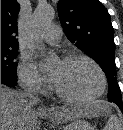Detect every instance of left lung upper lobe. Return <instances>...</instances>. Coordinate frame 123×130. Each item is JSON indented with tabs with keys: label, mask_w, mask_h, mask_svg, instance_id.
I'll return each instance as SVG.
<instances>
[{
	"label": "left lung upper lobe",
	"mask_w": 123,
	"mask_h": 130,
	"mask_svg": "<svg viewBox=\"0 0 123 130\" xmlns=\"http://www.w3.org/2000/svg\"><path fill=\"white\" fill-rule=\"evenodd\" d=\"M61 25L68 39L92 57L108 79V99L123 108L115 78L114 31L107 9L99 0H59Z\"/></svg>",
	"instance_id": "obj_1"
}]
</instances>
